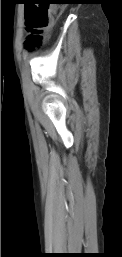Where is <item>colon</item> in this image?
<instances>
[{
	"label": "colon",
	"instance_id": "obj_1",
	"mask_svg": "<svg viewBox=\"0 0 122 257\" xmlns=\"http://www.w3.org/2000/svg\"><path fill=\"white\" fill-rule=\"evenodd\" d=\"M52 19L51 10L43 5H28L26 10V44L33 49L41 45Z\"/></svg>",
	"mask_w": 122,
	"mask_h": 257
}]
</instances>
